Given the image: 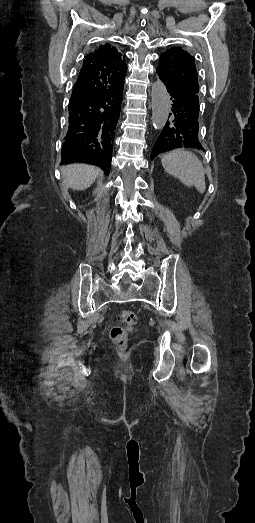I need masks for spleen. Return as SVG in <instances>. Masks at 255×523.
<instances>
[{
  "label": "spleen",
  "mask_w": 255,
  "mask_h": 523,
  "mask_svg": "<svg viewBox=\"0 0 255 523\" xmlns=\"http://www.w3.org/2000/svg\"><path fill=\"white\" fill-rule=\"evenodd\" d=\"M161 162L167 174L179 178L185 186H195L200 194H204L206 190L204 168L195 154L185 150H173L163 154Z\"/></svg>",
  "instance_id": "1"
}]
</instances>
